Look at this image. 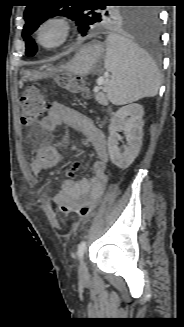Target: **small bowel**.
<instances>
[{"mask_svg":"<svg viewBox=\"0 0 184 327\" xmlns=\"http://www.w3.org/2000/svg\"><path fill=\"white\" fill-rule=\"evenodd\" d=\"M61 125H67L80 132L90 143L96 159L90 176L81 180L61 178L55 179L56 185H61L60 190L52 200L57 206H81L85 202H97L107 183L106 169L108 165V150L105 135L97 128L93 121L65 105L62 102L51 103L48 114L41 120L40 128L46 132L56 131ZM61 160V155L53 145L40 141L37 155L31 162V171L36 176H41L45 171L55 168ZM85 162L80 159H68L70 170L64 171L65 177H73L77 170L83 169ZM52 177L58 176L57 170L51 171Z\"/></svg>","mask_w":184,"mask_h":327,"instance_id":"small-bowel-1","label":"small bowel"}]
</instances>
